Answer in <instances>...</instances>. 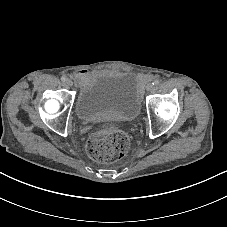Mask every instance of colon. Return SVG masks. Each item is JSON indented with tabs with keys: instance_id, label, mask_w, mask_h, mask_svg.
Listing matches in <instances>:
<instances>
[{
	"instance_id": "colon-1",
	"label": "colon",
	"mask_w": 227,
	"mask_h": 227,
	"mask_svg": "<svg viewBox=\"0 0 227 227\" xmlns=\"http://www.w3.org/2000/svg\"><path fill=\"white\" fill-rule=\"evenodd\" d=\"M129 147L128 135L117 127L101 126L94 129L87 141L89 156L101 163H112L121 159Z\"/></svg>"
}]
</instances>
